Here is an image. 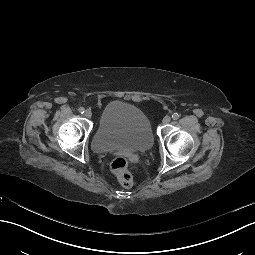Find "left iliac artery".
Instances as JSON below:
<instances>
[{
    "label": "left iliac artery",
    "instance_id": "44dca946",
    "mask_svg": "<svg viewBox=\"0 0 255 255\" xmlns=\"http://www.w3.org/2000/svg\"><path fill=\"white\" fill-rule=\"evenodd\" d=\"M179 117H180V115L178 113H173L172 114V119L173 120H177V119H179Z\"/></svg>",
    "mask_w": 255,
    "mask_h": 255
}]
</instances>
